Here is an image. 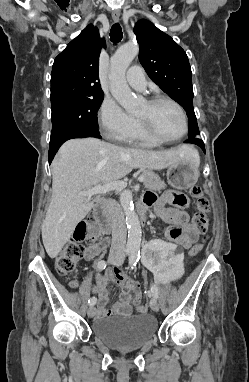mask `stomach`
Listing matches in <instances>:
<instances>
[{
  "instance_id": "stomach-1",
  "label": "stomach",
  "mask_w": 249,
  "mask_h": 382,
  "mask_svg": "<svg viewBox=\"0 0 249 382\" xmlns=\"http://www.w3.org/2000/svg\"><path fill=\"white\" fill-rule=\"evenodd\" d=\"M199 163L194 157H184L168 167V183L180 190H185L197 182L199 178Z\"/></svg>"
}]
</instances>
